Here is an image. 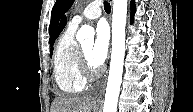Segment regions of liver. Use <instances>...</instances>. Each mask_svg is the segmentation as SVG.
I'll return each instance as SVG.
<instances>
[{
    "label": "liver",
    "instance_id": "liver-1",
    "mask_svg": "<svg viewBox=\"0 0 193 112\" xmlns=\"http://www.w3.org/2000/svg\"><path fill=\"white\" fill-rule=\"evenodd\" d=\"M96 109L92 97H59L54 100L51 112H93Z\"/></svg>",
    "mask_w": 193,
    "mask_h": 112
}]
</instances>
